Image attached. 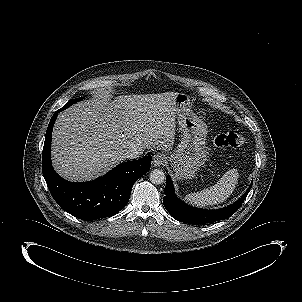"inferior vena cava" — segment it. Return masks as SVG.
<instances>
[{
    "instance_id": "602c4592",
    "label": "inferior vena cava",
    "mask_w": 302,
    "mask_h": 302,
    "mask_svg": "<svg viewBox=\"0 0 302 302\" xmlns=\"http://www.w3.org/2000/svg\"><path fill=\"white\" fill-rule=\"evenodd\" d=\"M142 153L143 152L141 150H137L136 148H133L131 150L124 151L121 155L122 158L124 159L134 160L139 158Z\"/></svg>"
}]
</instances>
